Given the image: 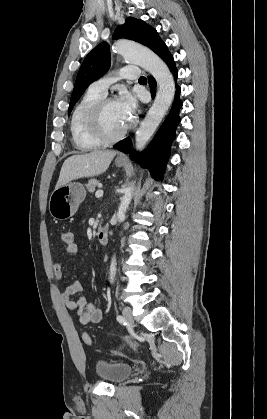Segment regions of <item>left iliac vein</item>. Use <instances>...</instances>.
Masks as SVG:
<instances>
[{"label":"left iliac vein","mask_w":267,"mask_h":419,"mask_svg":"<svg viewBox=\"0 0 267 419\" xmlns=\"http://www.w3.org/2000/svg\"><path fill=\"white\" fill-rule=\"evenodd\" d=\"M122 313L125 320L130 324L132 328H134L135 325H134V319H133L131 310L126 307L123 309Z\"/></svg>","instance_id":"4c4485c4"}]
</instances>
